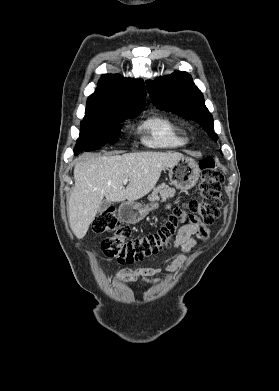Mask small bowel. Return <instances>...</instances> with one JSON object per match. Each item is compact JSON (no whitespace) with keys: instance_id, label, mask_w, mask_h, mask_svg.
Listing matches in <instances>:
<instances>
[{"instance_id":"c3829d8e","label":"small bowel","mask_w":279,"mask_h":391,"mask_svg":"<svg viewBox=\"0 0 279 391\" xmlns=\"http://www.w3.org/2000/svg\"><path fill=\"white\" fill-rule=\"evenodd\" d=\"M170 205L166 209H170ZM185 216L180 220L182 223L176 240L174 242V248L180 249L182 254L178 255L175 260L166 267L167 271L173 272L177 270L182 264L187 260L185 253L189 252L196 245V240L194 235L198 232V226L193 223H184ZM161 268H137L129 269L125 268L120 270L116 277L121 281H131V282H145L148 284H156L159 282L158 279H151L150 277L159 273Z\"/></svg>"}]
</instances>
